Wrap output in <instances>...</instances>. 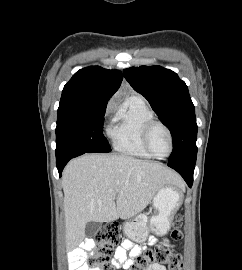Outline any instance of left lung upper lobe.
I'll use <instances>...</instances> for the list:
<instances>
[{
    "instance_id": "obj_1",
    "label": "left lung upper lobe",
    "mask_w": 242,
    "mask_h": 270,
    "mask_svg": "<svg viewBox=\"0 0 242 270\" xmlns=\"http://www.w3.org/2000/svg\"><path fill=\"white\" fill-rule=\"evenodd\" d=\"M123 73L130 85L149 101L172 134L173 152L168 163L196 162L198 127L185 82L175 72L160 66L132 67Z\"/></svg>"
}]
</instances>
